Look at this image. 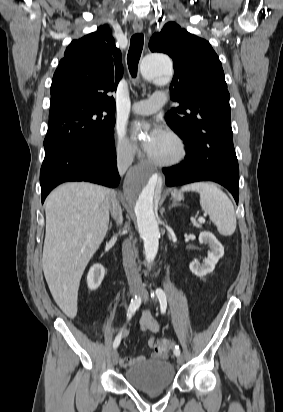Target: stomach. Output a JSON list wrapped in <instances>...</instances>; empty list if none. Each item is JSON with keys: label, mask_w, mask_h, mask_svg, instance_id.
Wrapping results in <instances>:
<instances>
[{"label": "stomach", "mask_w": 283, "mask_h": 412, "mask_svg": "<svg viewBox=\"0 0 283 412\" xmlns=\"http://www.w3.org/2000/svg\"><path fill=\"white\" fill-rule=\"evenodd\" d=\"M172 197H173L174 200H180V199H182V194L179 193L178 191L174 190L172 192Z\"/></svg>", "instance_id": "stomach-1"}]
</instances>
